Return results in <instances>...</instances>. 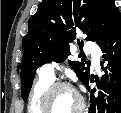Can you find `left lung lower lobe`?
<instances>
[{
    "instance_id": "0a47b994",
    "label": "left lung lower lobe",
    "mask_w": 121,
    "mask_h": 113,
    "mask_svg": "<svg viewBox=\"0 0 121 113\" xmlns=\"http://www.w3.org/2000/svg\"><path fill=\"white\" fill-rule=\"evenodd\" d=\"M104 53L103 61H109L110 83L102 89L108 94L90 89L91 77L85 86L91 91V105L88 113H121V17L117 20L110 35L99 44ZM106 71V69H104ZM105 83L107 82L104 77Z\"/></svg>"
}]
</instances>
